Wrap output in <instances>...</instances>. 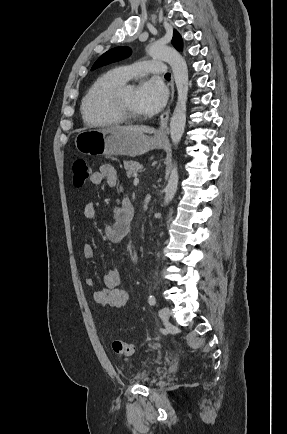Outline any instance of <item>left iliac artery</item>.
<instances>
[{"label": "left iliac artery", "instance_id": "left-iliac-artery-1", "mask_svg": "<svg viewBox=\"0 0 287 434\" xmlns=\"http://www.w3.org/2000/svg\"><path fill=\"white\" fill-rule=\"evenodd\" d=\"M148 302L152 306L155 305L156 304V298H155V296L154 295H150L149 298H148Z\"/></svg>", "mask_w": 287, "mask_h": 434}]
</instances>
